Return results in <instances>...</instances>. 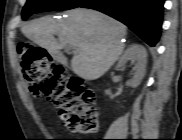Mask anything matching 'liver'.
<instances>
[{"mask_svg": "<svg viewBox=\"0 0 182 140\" xmlns=\"http://www.w3.org/2000/svg\"><path fill=\"white\" fill-rule=\"evenodd\" d=\"M66 14L63 22L52 16L33 20L22 27V33L51 54L58 53L62 44L76 47L71 60L73 72L87 80L98 79L122 54L126 26L92 9L76 8Z\"/></svg>", "mask_w": 182, "mask_h": 140, "instance_id": "liver-1", "label": "liver"}]
</instances>
